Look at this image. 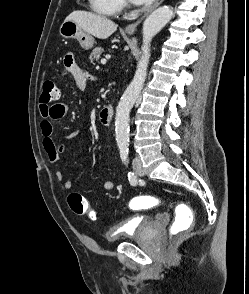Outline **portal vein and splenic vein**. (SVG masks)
Here are the masks:
<instances>
[{"instance_id": "18ae733b", "label": "portal vein and splenic vein", "mask_w": 249, "mask_h": 294, "mask_svg": "<svg viewBox=\"0 0 249 294\" xmlns=\"http://www.w3.org/2000/svg\"><path fill=\"white\" fill-rule=\"evenodd\" d=\"M101 64H106V59H102Z\"/></svg>"}]
</instances>
